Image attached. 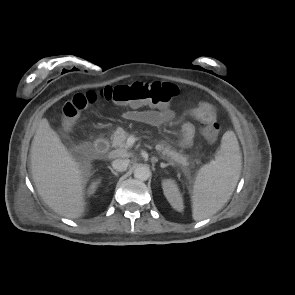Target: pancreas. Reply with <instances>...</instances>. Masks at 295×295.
Listing matches in <instances>:
<instances>
[{"label":"pancreas","mask_w":295,"mask_h":295,"mask_svg":"<svg viewBox=\"0 0 295 295\" xmlns=\"http://www.w3.org/2000/svg\"><path fill=\"white\" fill-rule=\"evenodd\" d=\"M128 136L129 134L123 128L118 127L112 134V147L124 151ZM155 148L162 155V158L182 165L183 170L187 172L188 157L186 155L177 152L171 145L166 144L164 141L157 142Z\"/></svg>","instance_id":"obj_1"}]
</instances>
